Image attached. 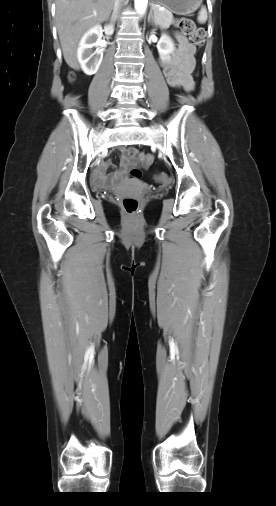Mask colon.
Wrapping results in <instances>:
<instances>
[{"label": "colon", "mask_w": 276, "mask_h": 506, "mask_svg": "<svg viewBox=\"0 0 276 506\" xmlns=\"http://www.w3.org/2000/svg\"><path fill=\"white\" fill-rule=\"evenodd\" d=\"M177 26L184 35L189 37L193 45L197 47L203 46L206 39V33L203 29L196 28L193 20L186 17L180 18L177 20ZM130 174L135 179L141 177V171L137 168L132 169ZM155 181L158 183H167V175L159 173L155 176ZM122 205L128 214H134L138 210L139 202L135 197L127 196L123 198Z\"/></svg>", "instance_id": "1"}]
</instances>
